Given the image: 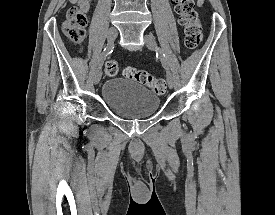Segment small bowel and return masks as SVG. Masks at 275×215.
Segmentation results:
<instances>
[{"mask_svg": "<svg viewBox=\"0 0 275 215\" xmlns=\"http://www.w3.org/2000/svg\"><path fill=\"white\" fill-rule=\"evenodd\" d=\"M203 3H204V1H203V0H197V5H198V6H202V5H203Z\"/></svg>", "mask_w": 275, "mask_h": 215, "instance_id": "obj_1", "label": "small bowel"}]
</instances>
